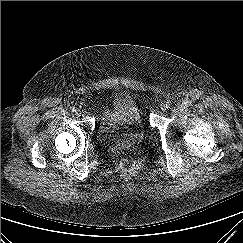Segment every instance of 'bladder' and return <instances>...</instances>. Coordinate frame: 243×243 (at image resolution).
I'll return each instance as SVG.
<instances>
[{"label": "bladder", "mask_w": 243, "mask_h": 243, "mask_svg": "<svg viewBox=\"0 0 243 243\" xmlns=\"http://www.w3.org/2000/svg\"><path fill=\"white\" fill-rule=\"evenodd\" d=\"M97 138L104 145L136 146L145 138L141 112L127 93H117L102 113Z\"/></svg>", "instance_id": "1"}]
</instances>
